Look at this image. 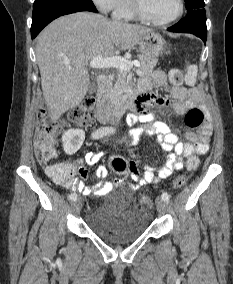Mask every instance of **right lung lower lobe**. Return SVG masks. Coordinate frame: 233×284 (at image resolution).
<instances>
[{"instance_id":"obj_1","label":"right lung lower lobe","mask_w":233,"mask_h":284,"mask_svg":"<svg viewBox=\"0 0 233 284\" xmlns=\"http://www.w3.org/2000/svg\"><path fill=\"white\" fill-rule=\"evenodd\" d=\"M80 11H91L97 12V10H92L88 8H57L51 11H48L42 15H39L35 18H32V26H31V37L35 38L38 33L52 20L56 19L59 16L80 12Z\"/></svg>"}]
</instances>
